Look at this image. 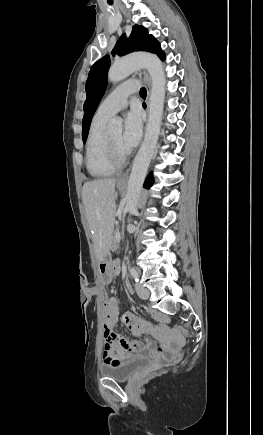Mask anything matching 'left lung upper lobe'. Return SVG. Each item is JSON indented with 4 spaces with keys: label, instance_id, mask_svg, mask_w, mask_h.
Returning <instances> with one entry per match:
<instances>
[{
    "label": "left lung upper lobe",
    "instance_id": "obj_1",
    "mask_svg": "<svg viewBox=\"0 0 263 435\" xmlns=\"http://www.w3.org/2000/svg\"><path fill=\"white\" fill-rule=\"evenodd\" d=\"M134 51H148L165 59L163 51L156 39L148 34V30L142 26H133L129 39L123 34L116 43L112 55H126ZM110 66V57L105 55L98 60L90 69L86 82L87 98L84 102V117L82 120V139L85 143L92 117L105 92L107 85V72Z\"/></svg>",
    "mask_w": 263,
    "mask_h": 435
}]
</instances>
